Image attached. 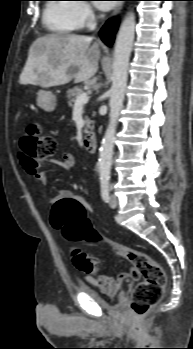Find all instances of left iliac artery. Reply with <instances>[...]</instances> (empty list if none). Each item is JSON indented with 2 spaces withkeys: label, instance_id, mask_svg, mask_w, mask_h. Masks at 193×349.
I'll use <instances>...</instances> for the list:
<instances>
[{
  "label": "left iliac artery",
  "instance_id": "left-iliac-artery-1",
  "mask_svg": "<svg viewBox=\"0 0 193 349\" xmlns=\"http://www.w3.org/2000/svg\"><path fill=\"white\" fill-rule=\"evenodd\" d=\"M110 187H111V185L107 181H103L101 183V196H102V199L105 202L109 201V190H110Z\"/></svg>",
  "mask_w": 193,
  "mask_h": 349
}]
</instances>
